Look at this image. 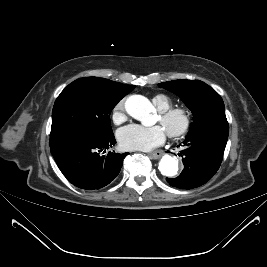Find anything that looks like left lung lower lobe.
Segmentation results:
<instances>
[{"label":"left lung lower lobe","mask_w":267,"mask_h":267,"mask_svg":"<svg viewBox=\"0 0 267 267\" xmlns=\"http://www.w3.org/2000/svg\"><path fill=\"white\" fill-rule=\"evenodd\" d=\"M228 129L211 128L189 134L183 141L184 169L177 178L167 182L180 189L199 187L217 172L228 138Z\"/></svg>","instance_id":"left-lung-lower-lobe-1"}]
</instances>
